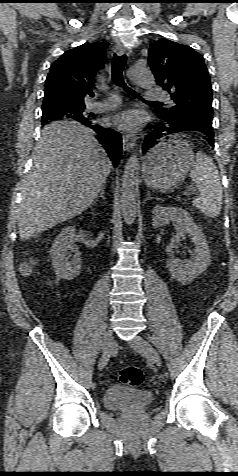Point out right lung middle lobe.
<instances>
[{"mask_svg":"<svg viewBox=\"0 0 238 476\" xmlns=\"http://www.w3.org/2000/svg\"><path fill=\"white\" fill-rule=\"evenodd\" d=\"M74 119L77 121L94 119V114L85 111V105H73L59 102H43L42 124L49 120Z\"/></svg>","mask_w":238,"mask_h":476,"instance_id":"1","label":"right lung middle lobe"}]
</instances>
